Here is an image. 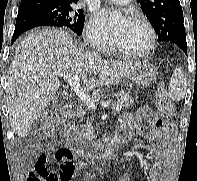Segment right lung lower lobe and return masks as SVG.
I'll return each instance as SVG.
<instances>
[{
  "label": "right lung lower lobe",
  "instance_id": "right-lung-lower-lobe-1",
  "mask_svg": "<svg viewBox=\"0 0 197 181\" xmlns=\"http://www.w3.org/2000/svg\"><path fill=\"white\" fill-rule=\"evenodd\" d=\"M39 26H59V22L54 18L30 8H19L15 31L11 43L25 31Z\"/></svg>",
  "mask_w": 197,
  "mask_h": 181
}]
</instances>
